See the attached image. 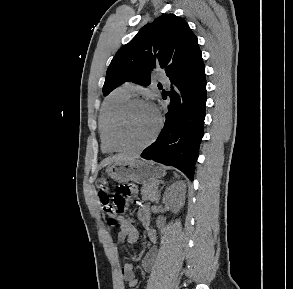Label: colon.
<instances>
[{
	"instance_id": "colon-1",
	"label": "colon",
	"mask_w": 293,
	"mask_h": 289,
	"mask_svg": "<svg viewBox=\"0 0 293 289\" xmlns=\"http://www.w3.org/2000/svg\"><path fill=\"white\" fill-rule=\"evenodd\" d=\"M135 186L133 184H121L114 195L110 196L105 191L99 192L102 213L107 217L110 225L115 224L118 213L125 212L130 202L134 201ZM136 203V201H134Z\"/></svg>"
}]
</instances>
